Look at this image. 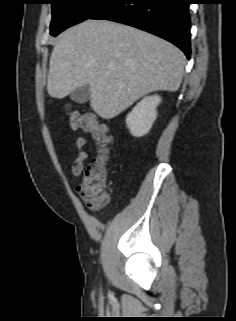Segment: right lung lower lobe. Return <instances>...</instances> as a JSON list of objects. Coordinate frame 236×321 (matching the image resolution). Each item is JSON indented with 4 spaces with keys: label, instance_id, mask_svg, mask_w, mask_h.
Wrapping results in <instances>:
<instances>
[{
    "label": "right lung lower lobe",
    "instance_id": "1",
    "mask_svg": "<svg viewBox=\"0 0 236 321\" xmlns=\"http://www.w3.org/2000/svg\"><path fill=\"white\" fill-rule=\"evenodd\" d=\"M189 0H110L88 19H103L145 30L179 47L190 59Z\"/></svg>",
    "mask_w": 236,
    "mask_h": 321
}]
</instances>
